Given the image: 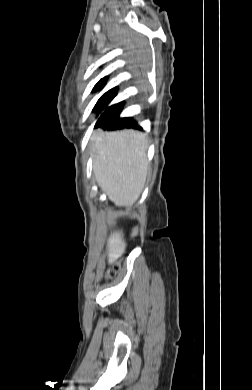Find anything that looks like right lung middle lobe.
<instances>
[{"label": "right lung middle lobe", "instance_id": "dd1d6c3e", "mask_svg": "<svg viewBox=\"0 0 252 390\" xmlns=\"http://www.w3.org/2000/svg\"><path fill=\"white\" fill-rule=\"evenodd\" d=\"M110 101H102V102H98L95 107H94V111L96 112H101L104 108L107 107V104L109 103ZM122 109V103H119V104H115V105H112L110 107H108L100 116V118L98 119L95 127H100L101 125L109 122L110 120H112L113 118L117 117L120 113Z\"/></svg>", "mask_w": 252, "mask_h": 390}]
</instances>
